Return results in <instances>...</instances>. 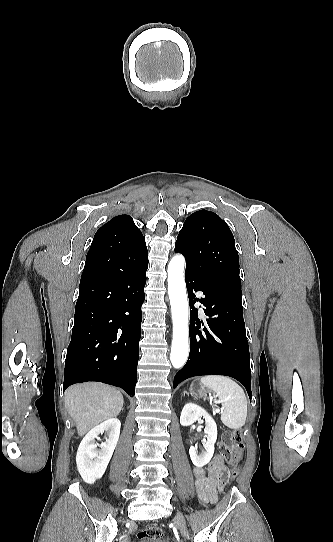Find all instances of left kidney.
<instances>
[{
	"instance_id": "1",
	"label": "left kidney",
	"mask_w": 333,
	"mask_h": 542,
	"mask_svg": "<svg viewBox=\"0 0 333 542\" xmlns=\"http://www.w3.org/2000/svg\"><path fill=\"white\" fill-rule=\"evenodd\" d=\"M201 416L205 418L206 426L204 428V434H207L208 436L207 442H204L205 452L198 454L195 446H190L189 450L190 458L194 466H197V468H203V466H206L214 454V444L217 440L216 422L213 420L212 416L206 412V410H203V408H200V406H197V404H185L180 416L181 426H192V424H194L196 420H199Z\"/></svg>"
}]
</instances>
